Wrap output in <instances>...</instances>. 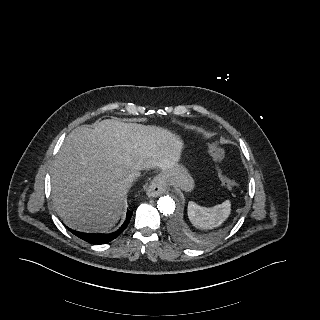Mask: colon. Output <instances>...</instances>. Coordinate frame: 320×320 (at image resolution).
I'll list each match as a JSON object with an SVG mask.
<instances>
[{"label":"colon","instance_id":"colon-1","mask_svg":"<svg viewBox=\"0 0 320 320\" xmlns=\"http://www.w3.org/2000/svg\"><path fill=\"white\" fill-rule=\"evenodd\" d=\"M211 153L218 163L217 173L221 184L228 189L236 187L237 182L233 178L229 177L220 166L221 162L224 159L223 149L217 143H213L211 146Z\"/></svg>","mask_w":320,"mask_h":320}]
</instances>
